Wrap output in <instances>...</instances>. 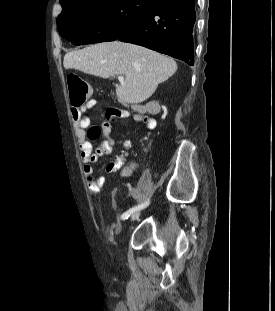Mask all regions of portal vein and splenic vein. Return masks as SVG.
<instances>
[{
  "label": "portal vein and splenic vein",
  "mask_w": 275,
  "mask_h": 311,
  "mask_svg": "<svg viewBox=\"0 0 275 311\" xmlns=\"http://www.w3.org/2000/svg\"><path fill=\"white\" fill-rule=\"evenodd\" d=\"M118 80H119L120 82H123V81H124V76H123V75H119V76H118Z\"/></svg>",
  "instance_id": "portal-vein-and-splenic-vein-1"
}]
</instances>
